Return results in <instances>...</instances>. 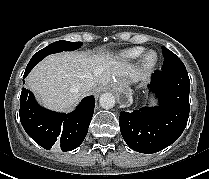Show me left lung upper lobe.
Wrapping results in <instances>:
<instances>
[{"instance_id":"5c2ea615","label":"left lung upper lobe","mask_w":209,"mask_h":179,"mask_svg":"<svg viewBox=\"0 0 209 179\" xmlns=\"http://www.w3.org/2000/svg\"><path fill=\"white\" fill-rule=\"evenodd\" d=\"M162 52L164 56V63L162 66V70L168 71V70L185 67L182 61L166 47L162 46Z\"/></svg>"}]
</instances>
